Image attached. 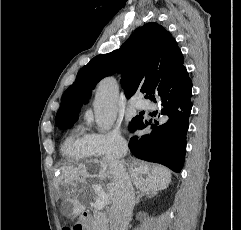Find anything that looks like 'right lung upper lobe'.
Returning a JSON list of instances; mask_svg holds the SVG:
<instances>
[{
  "instance_id": "cb5924a9",
  "label": "right lung upper lobe",
  "mask_w": 241,
  "mask_h": 230,
  "mask_svg": "<svg viewBox=\"0 0 241 230\" xmlns=\"http://www.w3.org/2000/svg\"><path fill=\"white\" fill-rule=\"evenodd\" d=\"M183 63L181 50L170 32L158 23H147L119 49L94 57L79 70L76 81L62 96L55 122L63 129L71 127L82 103L88 102L91 90L106 76L122 73L121 85L127 98L136 92L151 96L160 81Z\"/></svg>"
}]
</instances>
